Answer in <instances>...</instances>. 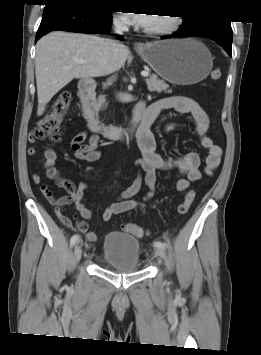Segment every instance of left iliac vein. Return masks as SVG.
Returning <instances> with one entry per match:
<instances>
[{
    "instance_id": "4c4485c4",
    "label": "left iliac vein",
    "mask_w": 261,
    "mask_h": 355,
    "mask_svg": "<svg viewBox=\"0 0 261 355\" xmlns=\"http://www.w3.org/2000/svg\"><path fill=\"white\" fill-rule=\"evenodd\" d=\"M156 254L158 257H160L161 259L165 260L166 259V254L164 252V250L162 248H157L156 249Z\"/></svg>"
}]
</instances>
